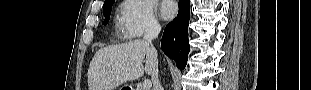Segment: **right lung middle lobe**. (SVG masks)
I'll list each match as a JSON object with an SVG mask.
<instances>
[{
  "label": "right lung middle lobe",
  "mask_w": 311,
  "mask_h": 90,
  "mask_svg": "<svg viewBox=\"0 0 311 90\" xmlns=\"http://www.w3.org/2000/svg\"><path fill=\"white\" fill-rule=\"evenodd\" d=\"M113 3H114V0H111L110 2L103 5V14L105 17L104 22H103L104 25H106L109 22L110 12H111Z\"/></svg>",
  "instance_id": "obj_1"
}]
</instances>
